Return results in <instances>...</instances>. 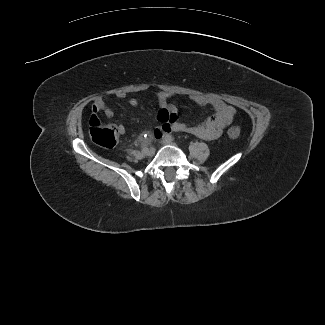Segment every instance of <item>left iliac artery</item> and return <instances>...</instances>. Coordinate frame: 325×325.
<instances>
[{"label": "left iliac artery", "mask_w": 325, "mask_h": 325, "mask_svg": "<svg viewBox=\"0 0 325 325\" xmlns=\"http://www.w3.org/2000/svg\"><path fill=\"white\" fill-rule=\"evenodd\" d=\"M165 138H167V139H169V140H174V137L172 136V135H170V134H167L166 136H165Z\"/></svg>", "instance_id": "left-iliac-artery-1"}]
</instances>
